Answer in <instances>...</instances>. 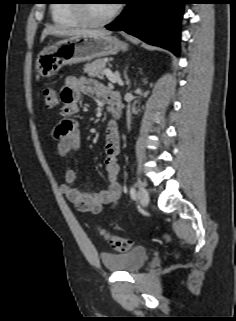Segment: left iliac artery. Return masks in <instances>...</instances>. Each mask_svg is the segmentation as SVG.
Here are the masks:
<instances>
[{"label": "left iliac artery", "instance_id": "1", "mask_svg": "<svg viewBox=\"0 0 236 321\" xmlns=\"http://www.w3.org/2000/svg\"><path fill=\"white\" fill-rule=\"evenodd\" d=\"M130 196H131L132 199L136 198V190H135V188L133 186L130 187Z\"/></svg>", "mask_w": 236, "mask_h": 321}]
</instances>
